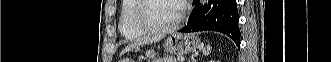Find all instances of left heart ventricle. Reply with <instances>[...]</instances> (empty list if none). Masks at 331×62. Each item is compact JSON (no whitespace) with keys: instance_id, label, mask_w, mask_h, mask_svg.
<instances>
[{"instance_id":"1","label":"left heart ventricle","mask_w":331,"mask_h":62,"mask_svg":"<svg viewBox=\"0 0 331 62\" xmlns=\"http://www.w3.org/2000/svg\"><path fill=\"white\" fill-rule=\"evenodd\" d=\"M179 12L177 0H149L143 16L153 26H167L176 20Z\"/></svg>"}]
</instances>
